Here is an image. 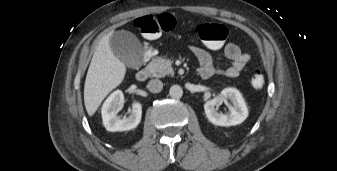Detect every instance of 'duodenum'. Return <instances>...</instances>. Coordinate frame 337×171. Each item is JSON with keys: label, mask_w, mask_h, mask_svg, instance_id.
I'll return each instance as SVG.
<instances>
[{"label": "duodenum", "mask_w": 337, "mask_h": 171, "mask_svg": "<svg viewBox=\"0 0 337 171\" xmlns=\"http://www.w3.org/2000/svg\"><path fill=\"white\" fill-rule=\"evenodd\" d=\"M198 74L201 77L202 75L201 71L198 70ZM149 76H150V69L148 67L140 69L136 74V78L139 81H145L148 79Z\"/></svg>", "instance_id": "duodenum-1"}]
</instances>
